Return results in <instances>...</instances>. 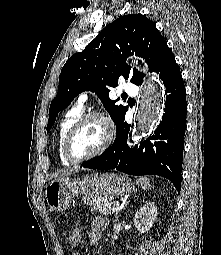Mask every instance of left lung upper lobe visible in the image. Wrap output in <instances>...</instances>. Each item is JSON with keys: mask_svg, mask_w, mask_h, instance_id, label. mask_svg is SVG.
<instances>
[{"mask_svg": "<svg viewBox=\"0 0 221 255\" xmlns=\"http://www.w3.org/2000/svg\"><path fill=\"white\" fill-rule=\"evenodd\" d=\"M161 33L145 15L120 16L108 24L86 48L71 56L59 76L57 96L49 109L47 132L53 126L59 112L66 108L81 92H96L117 125L127 107L115 105L109 98V87L117 86L120 76L141 85L144 74L133 70L126 58L135 53L145 59L152 72L162 50L166 47Z\"/></svg>", "mask_w": 221, "mask_h": 255, "instance_id": "obj_1", "label": "left lung upper lobe"}]
</instances>
